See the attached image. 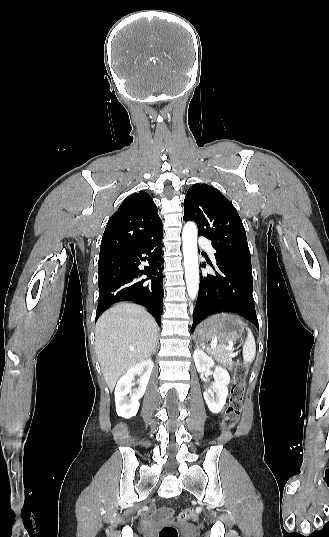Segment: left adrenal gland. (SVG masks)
Segmentation results:
<instances>
[{
    "label": "left adrenal gland",
    "instance_id": "left-adrenal-gland-1",
    "mask_svg": "<svg viewBox=\"0 0 329 537\" xmlns=\"http://www.w3.org/2000/svg\"><path fill=\"white\" fill-rule=\"evenodd\" d=\"M196 347H199V344H198V343H196Z\"/></svg>",
    "mask_w": 329,
    "mask_h": 537
}]
</instances>
